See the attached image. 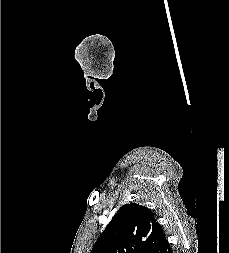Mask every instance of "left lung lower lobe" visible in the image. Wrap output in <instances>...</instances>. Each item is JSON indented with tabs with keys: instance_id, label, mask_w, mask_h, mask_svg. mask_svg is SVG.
Returning <instances> with one entry per match:
<instances>
[{
	"instance_id": "1",
	"label": "left lung lower lobe",
	"mask_w": 229,
	"mask_h": 253,
	"mask_svg": "<svg viewBox=\"0 0 229 253\" xmlns=\"http://www.w3.org/2000/svg\"><path fill=\"white\" fill-rule=\"evenodd\" d=\"M155 253H173L172 248L166 238L157 247Z\"/></svg>"
}]
</instances>
